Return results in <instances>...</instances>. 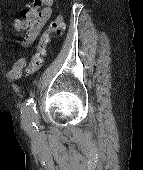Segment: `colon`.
<instances>
[{
  "label": "colon",
  "mask_w": 143,
  "mask_h": 170,
  "mask_svg": "<svg viewBox=\"0 0 143 170\" xmlns=\"http://www.w3.org/2000/svg\"><path fill=\"white\" fill-rule=\"evenodd\" d=\"M37 6H28L23 8L20 12V21L21 23L18 25L20 27H27L29 26L36 17L37 13ZM64 27L63 17L62 14H58L55 19H53L46 29V31L42 34L40 42L38 44L37 50L34 53L31 62L27 68V74L33 75L36 73L43 65L44 57L46 53V44L49 41V38L54 33H61Z\"/></svg>",
  "instance_id": "5ec220e1"
}]
</instances>
